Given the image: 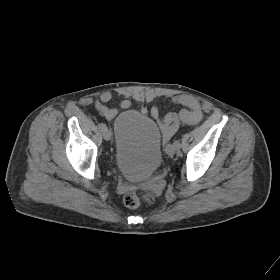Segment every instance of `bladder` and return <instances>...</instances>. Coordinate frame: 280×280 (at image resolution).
Returning a JSON list of instances; mask_svg holds the SVG:
<instances>
[{
    "label": "bladder",
    "mask_w": 280,
    "mask_h": 280,
    "mask_svg": "<svg viewBox=\"0 0 280 280\" xmlns=\"http://www.w3.org/2000/svg\"><path fill=\"white\" fill-rule=\"evenodd\" d=\"M114 161L125 176L152 175L162 162V136L157 122L136 111L120 113L114 121Z\"/></svg>",
    "instance_id": "bladder-1"
}]
</instances>
